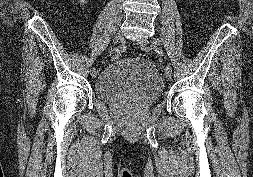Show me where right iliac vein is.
I'll use <instances>...</instances> for the list:
<instances>
[{
    "label": "right iliac vein",
    "mask_w": 253,
    "mask_h": 177,
    "mask_svg": "<svg viewBox=\"0 0 253 177\" xmlns=\"http://www.w3.org/2000/svg\"><path fill=\"white\" fill-rule=\"evenodd\" d=\"M115 39L116 41H119V42H123L124 41V37H123V33L122 31H118L115 35ZM98 75V71L97 70H94V72H91V76L92 78H96Z\"/></svg>",
    "instance_id": "obj_1"
}]
</instances>
